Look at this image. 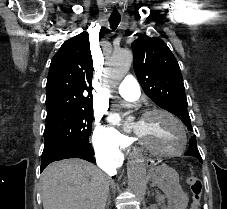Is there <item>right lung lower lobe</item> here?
<instances>
[{"label": "right lung lower lobe", "instance_id": "right-lung-lower-lobe-1", "mask_svg": "<svg viewBox=\"0 0 227 209\" xmlns=\"http://www.w3.org/2000/svg\"><path fill=\"white\" fill-rule=\"evenodd\" d=\"M93 156L94 151L89 143L56 148L42 155L41 171L51 162L67 158H81L89 162H95V158Z\"/></svg>", "mask_w": 227, "mask_h": 209}]
</instances>
